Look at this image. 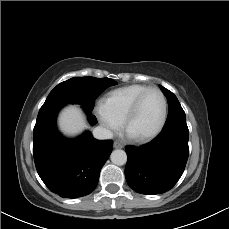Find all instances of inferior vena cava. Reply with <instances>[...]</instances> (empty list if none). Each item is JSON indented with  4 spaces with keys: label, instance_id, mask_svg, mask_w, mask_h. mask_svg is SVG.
Returning a JSON list of instances; mask_svg holds the SVG:
<instances>
[{
    "label": "inferior vena cava",
    "instance_id": "602c4592",
    "mask_svg": "<svg viewBox=\"0 0 229 229\" xmlns=\"http://www.w3.org/2000/svg\"><path fill=\"white\" fill-rule=\"evenodd\" d=\"M93 136L99 140L111 139L113 137V133L102 126H98L93 130Z\"/></svg>",
    "mask_w": 229,
    "mask_h": 229
}]
</instances>
